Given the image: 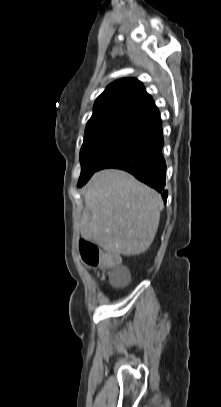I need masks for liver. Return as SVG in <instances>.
Instances as JSON below:
<instances>
[{"label": "liver", "mask_w": 221, "mask_h": 407, "mask_svg": "<svg viewBox=\"0 0 221 407\" xmlns=\"http://www.w3.org/2000/svg\"><path fill=\"white\" fill-rule=\"evenodd\" d=\"M158 192L117 169L95 173L86 186L82 237L113 255L145 252L158 230Z\"/></svg>", "instance_id": "obj_1"}]
</instances>
